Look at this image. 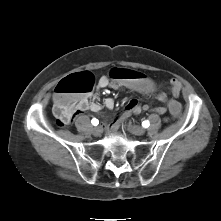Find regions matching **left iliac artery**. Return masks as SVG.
I'll list each match as a JSON object with an SVG mask.
<instances>
[{
	"label": "left iliac artery",
	"instance_id": "obj_1",
	"mask_svg": "<svg viewBox=\"0 0 221 221\" xmlns=\"http://www.w3.org/2000/svg\"><path fill=\"white\" fill-rule=\"evenodd\" d=\"M149 125H150V123H149L148 120H145V121L142 122V126H143L144 128L149 127Z\"/></svg>",
	"mask_w": 221,
	"mask_h": 221
}]
</instances>
